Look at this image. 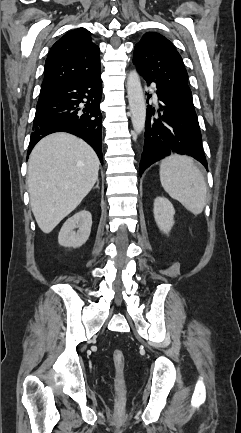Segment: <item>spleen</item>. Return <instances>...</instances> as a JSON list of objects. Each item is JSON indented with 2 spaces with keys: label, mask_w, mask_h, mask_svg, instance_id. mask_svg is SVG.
<instances>
[{
  "label": "spleen",
  "mask_w": 241,
  "mask_h": 433,
  "mask_svg": "<svg viewBox=\"0 0 241 433\" xmlns=\"http://www.w3.org/2000/svg\"><path fill=\"white\" fill-rule=\"evenodd\" d=\"M160 181L169 196L194 215L206 205L205 178L194 161L184 155H171L160 164Z\"/></svg>",
  "instance_id": "obj_1"
}]
</instances>
